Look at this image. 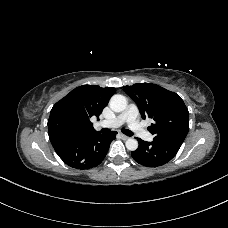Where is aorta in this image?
<instances>
[{
    "instance_id": "aorta-1",
    "label": "aorta",
    "mask_w": 228,
    "mask_h": 228,
    "mask_svg": "<svg viewBox=\"0 0 228 228\" xmlns=\"http://www.w3.org/2000/svg\"><path fill=\"white\" fill-rule=\"evenodd\" d=\"M109 105L114 112H122L127 107V99L123 95L116 94L111 97ZM125 145L128 150L135 151L138 148V141L134 138H129Z\"/></svg>"
}]
</instances>
